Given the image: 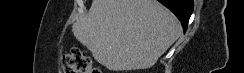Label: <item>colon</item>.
I'll return each mask as SVG.
<instances>
[{
	"label": "colon",
	"instance_id": "5ec220e1",
	"mask_svg": "<svg viewBox=\"0 0 244 73\" xmlns=\"http://www.w3.org/2000/svg\"><path fill=\"white\" fill-rule=\"evenodd\" d=\"M64 73H101L95 67L92 59L79 49H73L65 53L61 59Z\"/></svg>",
	"mask_w": 244,
	"mask_h": 73
}]
</instances>
